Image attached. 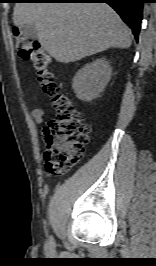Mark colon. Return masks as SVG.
<instances>
[{
  "mask_svg": "<svg viewBox=\"0 0 156 266\" xmlns=\"http://www.w3.org/2000/svg\"><path fill=\"white\" fill-rule=\"evenodd\" d=\"M19 56L32 62L43 91L52 99L55 117L44 129L45 166L49 173L63 174L83 157L90 127L72 101L60 93L54 74L49 70V56L39 42L14 31Z\"/></svg>",
  "mask_w": 156,
  "mask_h": 266,
  "instance_id": "1",
  "label": "colon"
}]
</instances>
